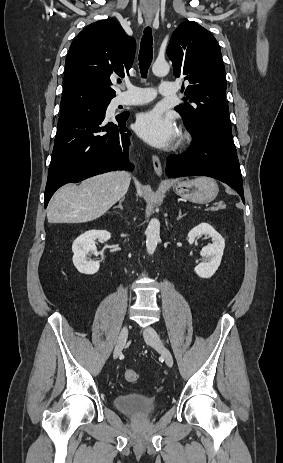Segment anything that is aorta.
<instances>
[{
	"label": "aorta",
	"instance_id": "1",
	"mask_svg": "<svg viewBox=\"0 0 283 463\" xmlns=\"http://www.w3.org/2000/svg\"><path fill=\"white\" fill-rule=\"evenodd\" d=\"M170 67L167 62L155 61L152 66V72L156 76H165L169 73ZM160 241V222L158 219H152L146 229V249L148 254L152 255Z\"/></svg>",
	"mask_w": 283,
	"mask_h": 463
}]
</instances>
